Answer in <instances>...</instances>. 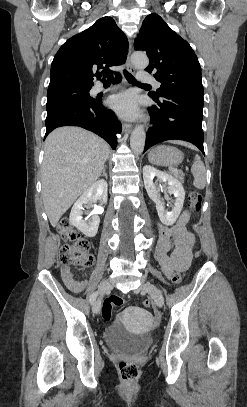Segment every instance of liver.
Returning <instances> with one entry per match:
<instances>
[{
    "mask_svg": "<svg viewBox=\"0 0 247 407\" xmlns=\"http://www.w3.org/2000/svg\"><path fill=\"white\" fill-rule=\"evenodd\" d=\"M174 143L188 145L183 141ZM108 154L109 146L103 139L80 127H60L48 135L41 182L45 211L53 227L96 182Z\"/></svg>",
    "mask_w": 247,
    "mask_h": 407,
    "instance_id": "liver-1",
    "label": "liver"
}]
</instances>
